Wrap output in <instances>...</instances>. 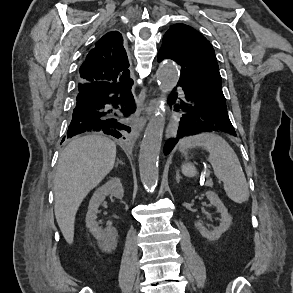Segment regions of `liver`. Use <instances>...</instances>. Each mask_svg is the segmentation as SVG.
I'll list each match as a JSON object with an SVG mask.
<instances>
[{"mask_svg":"<svg viewBox=\"0 0 293 293\" xmlns=\"http://www.w3.org/2000/svg\"><path fill=\"white\" fill-rule=\"evenodd\" d=\"M115 158L116 144L100 135L76 138L61 153L54 177V212L67 243H73L79 206L113 169Z\"/></svg>","mask_w":293,"mask_h":293,"instance_id":"6515ba94","label":"liver"}]
</instances>
